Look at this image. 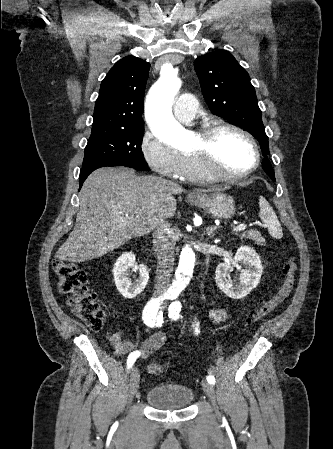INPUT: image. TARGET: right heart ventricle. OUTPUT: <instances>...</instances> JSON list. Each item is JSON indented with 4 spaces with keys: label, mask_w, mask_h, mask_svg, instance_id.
I'll return each instance as SVG.
<instances>
[{
    "label": "right heart ventricle",
    "mask_w": 333,
    "mask_h": 449,
    "mask_svg": "<svg viewBox=\"0 0 333 449\" xmlns=\"http://www.w3.org/2000/svg\"><path fill=\"white\" fill-rule=\"evenodd\" d=\"M183 157H184V166L181 178L197 182L206 181L207 179L200 172L194 159L188 154L183 155Z\"/></svg>",
    "instance_id": "e07e8e85"
}]
</instances>
